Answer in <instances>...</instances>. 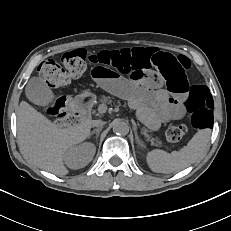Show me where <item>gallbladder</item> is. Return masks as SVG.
<instances>
[{
    "label": "gallbladder",
    "mask_w": 231,
    "mask_h": 231,
    "mask_svg": "<svg viewBox=\"0 0 231 231\" xmlns=\"http://www.w3.org/2000/svg\"><path fill=\"white\" fill-rule=\"evenodd\" d=\"M25 92L27 98L39 106H46L54 100L51 89L37 77L29 80Z\"/></svg>",
    "instance_id": "gallbladder-1"
}]
</instances>
